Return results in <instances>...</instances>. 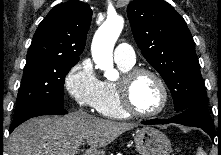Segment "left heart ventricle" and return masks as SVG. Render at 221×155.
<instances>
[{
    "label": "left heart ventricle",
    "mask_w": 221,
    "mask_h": 155,
    "mask_svg": "<svg viewBox=\"0 0 221 155\" xmlns=\"http://www.w3.org/2000/svg\"><path fill=\"white\" fill-rule=\"evenodd\" d=\"M134 106L141 112L157 110L162 103V92L156 80L150 75H141L131 89Z\"/></svg>",
    "instance_id": "1"
}]
</instances>
